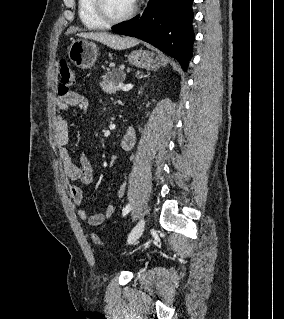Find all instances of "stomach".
Returning <instances> with one entry per match:
<instances>
[{"instance_id": "stomach-1", "label": "stomach", "mask_w": 284, "mask_h": 319, "mask_svg": "<svg viewBox=\"0 0 284 319\" xmlns=\"http://www.w3.org/2000/svg\"><path fill=\"white\" fill-rule=\"evenodd\" d=\"M68 56L77 67L89 69L97 59L98 48L95 43L86 39L74 40L68 48ZM128 61L130 64L146 70H157L161 64L158 54L146 50L132 51L128 55Z\"/></svg>"}]
</instances>
